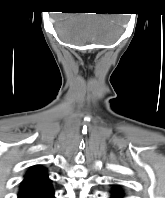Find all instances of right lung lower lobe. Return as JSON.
Here are the masks:
<instances>
[{
    "instance_id": "obj_1",
    "label": "right lung lower lobe",
    "mask_w": 165,
    "mask_h": 198,
    "mask_svg": "<svg viewBox=\"0 0 165 198\" xmlns=\"http://www.w3.org/2000/svg\"><path fill=\"white\" fill-rule=\"evenodd\" d=\"M26 198H54V190L52 186L43 189L37 193H34L30 196H27Z\"/></svg>"
}]
</instances>
